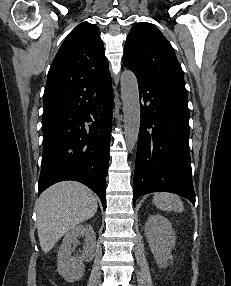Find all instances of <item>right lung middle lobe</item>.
<instances>
[{
  "label": "right lung middle lobe",
  "instance_id": "1",
  "mask_svg": "<svg viewBox=\"0 0 231 286\" xmlns=\"http://www.w3.org/2000/svg\"><path fill=\"white\" fill-rule=\"evenodd\" d=\"M46 115H48V111H44L43 116H46Z\"/></svg>",
  "mask_w": 231,
  "mask_h": 286
}]
</instances>
